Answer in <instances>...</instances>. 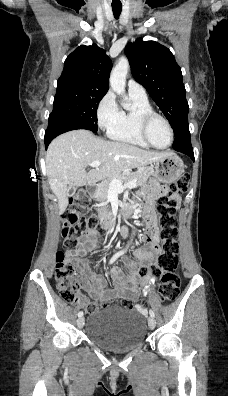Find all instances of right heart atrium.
<instances>
[{"instance_id":"d8ad5b80","label":"right heart atrium","mask_w":228,"mask_h":396,"mask_svg":"<svg viewBox=\"0 0 228 396\" xmlns=\"http://www.w3.org/2000/svg\"><path fill=\"white\" fill-rule=\"evenodd\" d=\"M120 108L111 92L99 101L96 109L97 124L102 130H109L120 119Z\"/></svg>"}]
</instances>
